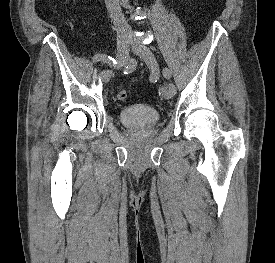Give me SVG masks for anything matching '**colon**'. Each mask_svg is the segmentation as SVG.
<instances>
[{"instance_id":"5ec220e1","label":"colon","mask_w":275,"mask_h":263,"mask_svg":"<svg viewBox=\"0 0 275 263\" xmlns=\"http://www.w3.org/2000/svg\"><path fill=\"white\" fill-rule=\"evenodd\" d=\"M127 97H128V92H127L126 90H124V89H119V90L117 91V98H118L119 100H126Z\"/></svg>"}]
</instances>
